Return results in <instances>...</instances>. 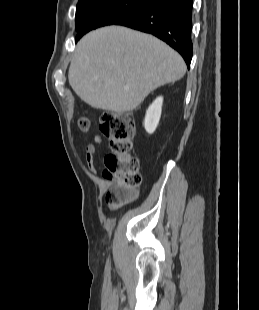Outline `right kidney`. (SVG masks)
I'll use <instances>...</instances> for the list:
<instances>
[{
  "label": "right kidney",
  "instance_id": "obj_1",
  "mask_svg": "<svg viewBox=\"0 0 259 310\" xmlns=\"http://www.w3.org/2000/svg\"><path fill=\"white\" fill-rule=\"evenodd\" d=\"M162 104H163V97L161 96L157 97L146 111L144 127L149 134H152L157 128V125L161 117Z\"/></svg>",
  "mask_w": 259,
  "mask_h": 310
}]
</instances>
